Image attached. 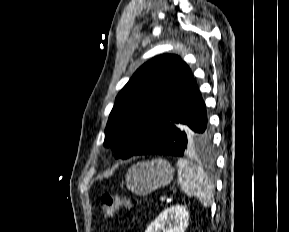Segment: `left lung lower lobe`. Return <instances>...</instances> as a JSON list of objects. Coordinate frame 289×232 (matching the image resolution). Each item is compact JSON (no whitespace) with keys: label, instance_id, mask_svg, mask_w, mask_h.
<instances>
[{"label":"left lung lower lobe","instance_id":"left-lung-lower-lobe-1","mask_svg":"<svg viewBox=\"0 0 289 232\" xmlns=\"http://www.w3.org/2000/svg\"><path fill=\"white\" fill-rule=\"evenodd\" d=\"M211 146L212 135L207 123L205 104L195 86L178 106L169 122L133 155L184 156L205 152Z\"/></svg>","mask_w":289,"mask_h":232}]
</instances>
